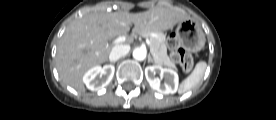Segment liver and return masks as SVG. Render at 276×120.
Listing matches in <instances>:
<instances>
[{
	"instance_id": "obj_1",
	"label": "liver",
	"mask_w": 276,
	"mask_h": 120,
	"mask_svg": "<svg viewBox=\"0 0 276 120\" xmlns=\"http://www.w3.org/2000/svg\"><path fill=\"white\" fill-rule=\"evenodd\" d=\"M189 19L176 8L155 7L145 12H96L74 20L60 39L56 66L60 79L79 92H85L82 77L94 66L108 60L112 48L108 41L126 35L130 25L134 32L157 33L171 29ZM127 39L126 43H132Z\"/></svg>"
}]
</instances>
